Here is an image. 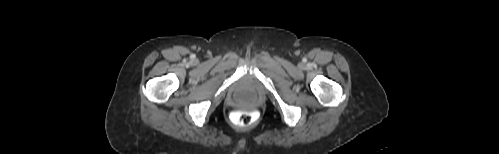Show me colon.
<instances>
[{"mask_svg": "<svg viewBox=\"0 0 499 154\" xmlns=\"http://www.w3.org/2000/svg\"><path fill=\"white\" fill-rule=\"evenodd\" d=\"M230 119L237 127L248 126L255 119V111L243 107H235L231 111Z\"/></svg>", "mask_w": 499, "mask_h": 154, "instance_id": "1", "label": "colon"}]
</instances>
